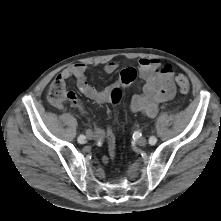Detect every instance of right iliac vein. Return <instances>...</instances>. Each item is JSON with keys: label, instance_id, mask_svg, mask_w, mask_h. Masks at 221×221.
Returning a JSON list of instances; mask_svg holds the SVG:
<instances>
[{"label": "right iliac vein", "instance_id": "63e3f726", "mask_svg": "<svg viewBox=\"0 0 221 221\" xmlns=\"http://www.w3.org/2000/svg\"><path fill=\"white\" fill-rule=\"evenodd\" d=\"M86 137H87V139H89V140H92V139L95 138L94 133H93L91 130H88V131L86 132Z\"/></svg>", "mask_w": 221, "mask_h": 221}]
</instances>
